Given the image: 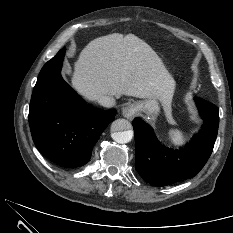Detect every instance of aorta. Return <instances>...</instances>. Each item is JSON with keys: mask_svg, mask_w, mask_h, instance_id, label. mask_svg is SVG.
Here are the masks:
<instances>
[{"mask_svg": "<svg viewBox=\"0 0 233 233\" xmlns=\"http://www.w3.org/2000/svg\"><path fill=\"white\" fill-rule=\"evenodd\" d=\"M112 138L120 144L128 143L133 138L131 123L126 119H117L111 124Z\"/></svg>", "mask_w": 233, "mask_h": 233, "instance_id": "762f6f07", "label": "aorta"}]
</instances>
